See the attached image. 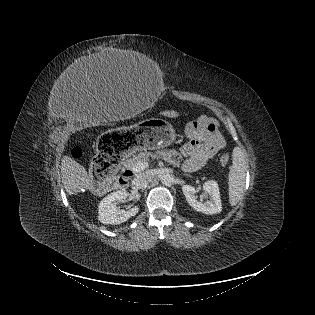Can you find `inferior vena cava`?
Here are the masks:
<instances>
[{"label":"inferior vena cava","mask_w":315,"mask_h":315,"mask_svg":"<svg viewBox=\"0 0 315 315\" xmlns=\"http://www.w3.org/2000/svg\"><path fill=\"white\" fill-rule=\"evenodd\" d=\"M152 178L150 171H145L138 174L132 181V186L136 189L143 188Z\"/></svg>","instance_id":"obj_1"}]
</instances>
